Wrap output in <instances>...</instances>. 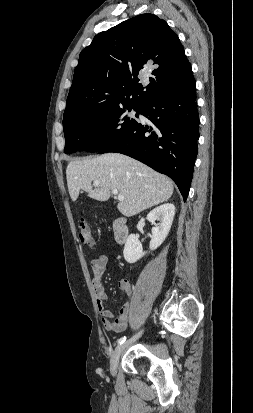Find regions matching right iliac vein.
<instances>
[{
  "label": "right iliac vein",
  "instance_id": "63e3f726",
  "mask_svg": "<svg viewBox=\"0 0 253 413\" xmlns=\"http://www.w3.org/2000/svg\"><path fill=\"white\" fill-rule=\"evenodd\" d=\"M141 334H142V331L140 333H138L129 342H132L135 339L139 338L141 336ZM129 342L118 345L115 348L113 354L111 355V358H110V372H111L112 375H114L116 373V369H117V366H118L120 356H121L122 352L124 351L125 347L128 345Z\"/></svg>",
  "mask_w": 253,
  "mask_h": 413
}]
</instances>
